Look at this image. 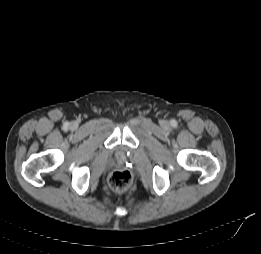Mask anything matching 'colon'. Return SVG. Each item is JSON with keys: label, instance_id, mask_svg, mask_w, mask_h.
<instances>
[{"label": "colon", "instance_id": "5ec220e1", "mask_svg": "<svg viewBox=\"0 0 261 254\" xmlns=\"http://www.w3.org/2000/svg\"><path fill=\"white\" fill-rule=\"evenodd\" d=\"M132 184V175L128 170H118L109 177L110 187L118 193L125 192Z\"/></svg>", "mask_w": 261, "mask_h": 254}]
</instances>
